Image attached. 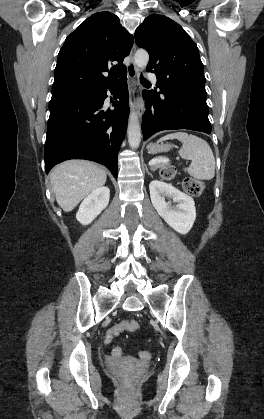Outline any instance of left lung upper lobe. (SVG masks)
<instances>
[{"label": "left lung upper lobe", "mask_w": 264, "mask_h": 419, "mask_svg": "<svg viewBox=\"0 0 264 419\" xmlns=\"http://www.w3.org/2000/svg\"><path fill=\"white\" fill-rule=\"evenodd\" d=\"M135 41L148 51L146 70L155 73L159 83H183L189 90L205 85L198 47L178 23L164 15H150L136 29Z\"/></svg>", "instance_id": "left-lung-upper-lobe-1"}]
</instances>
